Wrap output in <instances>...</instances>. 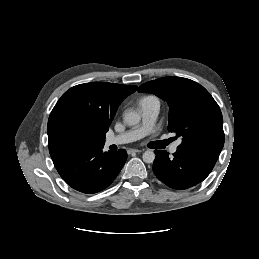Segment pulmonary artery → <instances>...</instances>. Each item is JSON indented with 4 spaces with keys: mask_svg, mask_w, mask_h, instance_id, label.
Listing matches in <instances>:
<instances>
[{
    "mask_svg": "<svg viewBox=\"0 0 259 259\" xmlns=\"http://www.w3.org/2000/svg\"><path fill=\"white\" fill-rule=\"evenodd\" d=\"M139 110L142 116V122L121 134L108 137L105 141L107 146L133 142L148 135L152 131L160 110L159 100L156 97H146L139 102ZM178 146L179 142L172 144L170 152L175 153Z\"/></svg>",
    "mask_w": 259,
    "mask_h": 259,
    "instance_id": "obj_1",
    "label": "pulmonary artery"
}]
</instances>
